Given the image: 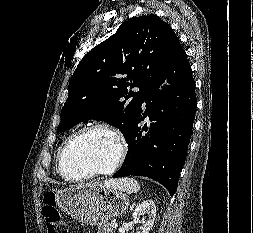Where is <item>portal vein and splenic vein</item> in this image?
I'll use <instances>...</instances> for the list:
<instances>
[{"mask_svg": "<svg viewBox=\"0 0 253 233\" xmlns=\"http://www.w3.org/2000/svg\"><path fill=\"white\" fill-rule=\"evenodd\" d=\"M111 227H112V228H116V227H117V223H116V222H113V223L111 224Z\"/></svg>", "mask_w": 253, "mask_h": 233, "instance_id": "obj_1", "label": "portal vein and splenic vein"}]
</instances>
